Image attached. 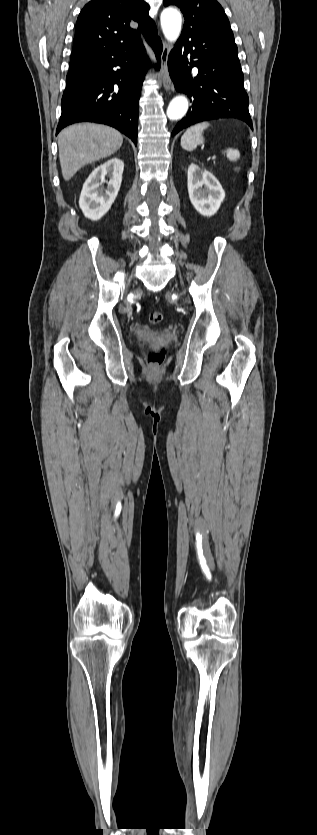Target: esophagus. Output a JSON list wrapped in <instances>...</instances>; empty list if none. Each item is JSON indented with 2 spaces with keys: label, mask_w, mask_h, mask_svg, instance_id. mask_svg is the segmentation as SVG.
Wrapping results in <instances>:
<instances>
[{
  "label": "esophagus",
  "mask_w": 317,
  "mask_h": 835,
  "mask_svg": "<svg viewBox=\"0 0 317 835\" xmlns=\"http://www.w3.org/2000/svg\"><path fill=\"white\" fill-rule=\"evenodd\" d=\"M170 52V45L168 43H164L162 51H161V81L165 90L169 91L173 88V83L168 71V56Z\"/></svg>",
  "instance_id": "34e87169"
}]
</instances>
